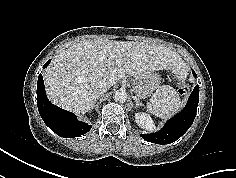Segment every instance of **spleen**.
<instances>
[{"instance_id":"3e777b00","label":"spleen","mask_w":236,"mask_h":178,"mask_svg":"<svg viewBox=\"0 0 236 178\" xmlns=\"http://www.w3.org/2000/svg\"><path fill=\"white\" fill-rule=\"evenodd\" d=\"M180 104L176 90L170 85H162L152 95L148 108L155 116L165 119L177 113Z\"/></svg>"}]
</instances>
